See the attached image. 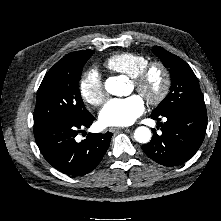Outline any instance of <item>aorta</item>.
I'll return each mask as SVG.
<instances>
[{"mask_svg": "<svg viewBox=\"0 0 221 221\" xmlns=\"http://www.w3.org/2000/svg\"><path fill=\"white\" fill-rule=\"evenodd\" d=\"M105 89L114 96L127 95V79L124 76L109 77L105 82ZM134 138L139 143H148L151 139V131L145 126L138 127L134 132Z\"/></svg>", "mask_w": 221, "mask_h": 221, "instance_id": "obj_1", "label": "aorta"}]
</instances>
